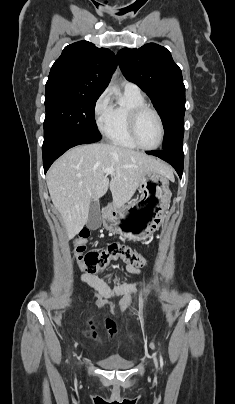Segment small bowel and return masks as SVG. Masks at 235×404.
Masks as SVG:
<instances>
[{"instance_id":"1","label":"small bowel","mask_w":235,"mask_h":404,"mask_svg":"<svg viewBox=\"0 0 235 404\" xmlns=\"http://www.w3.org/2000/svg\"><path fill=\"white\" fill-rule=\"evenodd\" d=\"M128 272L139 275L140 271L133 265L127 264ZM81 280L89 284L95 292L98 298V305L101 307H107L109 311L116 315L125 310L130 298L122 302L119 306L106 303L102 298H109L121 294H131L133 296L137 295L138 289L141 286L140 283H121L117 278H106L99 277L93 274L85 273L81 275ZM114 329V324L110 328Z\"/></svg>"}]
</instances>
